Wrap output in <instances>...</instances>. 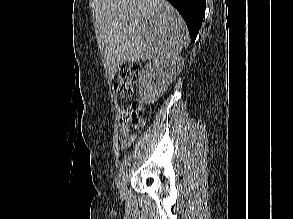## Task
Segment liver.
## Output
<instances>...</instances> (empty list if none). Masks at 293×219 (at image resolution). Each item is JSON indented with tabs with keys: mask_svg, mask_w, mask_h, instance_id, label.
I'll return each mask as SVG.
<instances>
[{
	"mask_svg": "<svg viewBox=\"0 0 293 219\" xmlns=\"http://www.w3.org/2000/svg\"><path fill=\"white\" fill-rule=\"evenodd\" d=\"M95 28L111 79L124 62L177 56L188 41L183 18L166 0H98Z\"/></svg>",
	"mask_w": 293,
	"mask_h": 219,
	"instance_id": "6515ba94",
	"label": "liver"
}]
</instances>
